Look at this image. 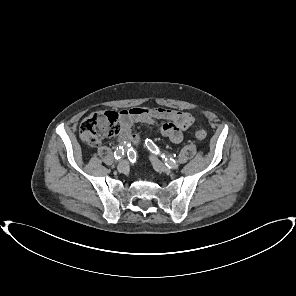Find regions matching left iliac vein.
<instances>
[{
	"label": "left iliac vein",
	"mask_w": 296,
	"mask_h": 296,
	"mask_svg": "<svg viewBox=\"0 0 296 296\" xmlns=\"http://www.w3.org/2000/svg\"><path fill=\"white\" fill-rule=\"evenodd\" d=\"M154 168L157 170V171H160V172H163V173H166V174H170L171 173V169L166 166L165 164H163L161 161H159L156 157L152 156L150 158Z\"/></svg>",
	"instance_id": "1"
}]
</instances>
